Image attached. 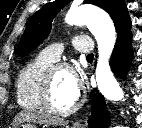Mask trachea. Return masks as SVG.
Here are the masks:
<instances>
[{
	"mask_svg": "<svg viewBox=\"0 0 142 128\" xmlns=\"http://www.w3.org/2000/svg\"><path fill=\"white\" fill-rule=\"evenodd\" d=\"M87 58L92 59V58H93V54H89V55L87 56Z\"/></svg>",
	"mask_w": 142,
	"mask_h": 128,
	"instance_id": "3493384b",
	"label": "trachea"
}]
</instances>
